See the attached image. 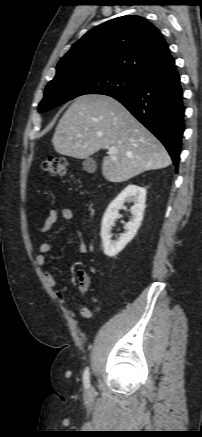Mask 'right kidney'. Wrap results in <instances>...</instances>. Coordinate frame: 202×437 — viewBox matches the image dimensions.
Returning <instances> with one entry per match:
<instances>
[{
	"mask_svg": "<svg viewBox=\"0 0 202 437\" xmlns=\"http://www.w3.org/2000/svg\"><path fill=\"white\" fill-rule=\"evenodd\" d=\"M131 200L134 205L130 208L132 219L125 225V233L118 240H111V229L114 221L119 217V210L125 201ZM146 201V189L137 185H128L108 206L102 220L101 238L103 250L108 257H114L135 237L143 220Z\"/></svg>",
	"mask_w": 202,
	"mask_h": 437,
	"instance_id": "ca27d5eb",
	"label": "right kidney"
}]
</instances>
